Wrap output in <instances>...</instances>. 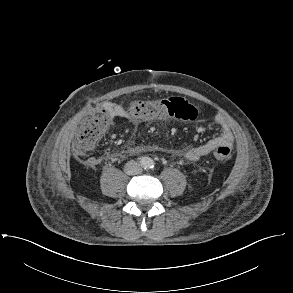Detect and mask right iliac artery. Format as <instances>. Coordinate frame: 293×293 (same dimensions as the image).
Wrapping results in <instances>:
<instances>
[{
    "label": "right iliac artery",
    "instance_id": "82829eb1",
    "mask_svg": "<svg viewBox=\"0 0 293 293\" xmlns=\"http://www.w3.org/2000/svg\"><path fill=\"white\" fill-rule=\"evenodd\" d=\"M140 162H141V164H143V163H144V159H141V161H140Z\"/></svg>",
    "mask_w": 293,
    "mask_h": 293
}]
</instances>
